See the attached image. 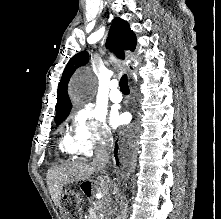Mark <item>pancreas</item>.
Here are the masks:
<instances>
[{"label": "pancreas", "mask_w": 221, "mask_h": 219, "mask_svg": "<svg viewBox=\"0 0 221 219\" xmlns=\"http://www.w3.org/2000/svg\"><path fill=\"white\" fill-rule=\"evenodd\" d=\"M88 213V219H100L96 208H90Z\"/></svg>", "instance_id": "pancreas-1"}]
</instances>
